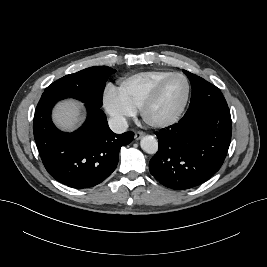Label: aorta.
<instances>
[{
  "label": "aorta",
  "instance_id": "obj_1",
  "mask_svg": "<svg viewBox=\"0 0 267 267\" xmlns=\"http://www.w3.org/2000/svg\"><path fill=\"white\" fill-rule=\"evenodd\" d=\"M140 146L148 154H155L158 151V141L151 135L144 136L140 141Z\"/></svg>",
  "mask_w": 267,
  "mask_h": 267
}]
</instances>
